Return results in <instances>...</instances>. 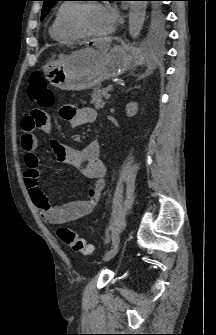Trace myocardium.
Listing matches in <instances>:
<instances>
[{"label": "myocardium", "mask_w": 216, "mask_h": 335, "mask_svg": "<svg viewBox=\"0 0 216 335\" xmlns=\"http://www.w3.org/2000/svg\"><path fill=\"white\" fill-rule=\"evenodd\" d=\"M93 4L94 3L76 4L69 17V25L71 29L75 31L76 33L82 35L83 37H92V38L102 37V36L109 34L112 31V28H111L104 33H95V32L89 31L86 28V26L84 25L83 16H84L85 10ZM97 5H100V4H97Z\"/></svg>", "instance_id": "f54148a6"}]
</instances>
